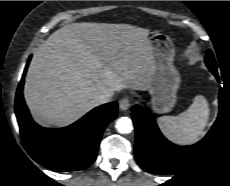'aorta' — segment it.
Masks as SVG:
<instances>
[{
	"label": "aorta",
	"mask_w": 230,
	"mask_h": 186,
	"mask_svg": "<svg viewBox=\"0 0 230 186\" xmlns=\"http://www.w3.org/2000/svg\"><path fill=\"white\" fill-rule=\"evenodd\" d=\"M117 131L121 134L130 133L133 129L132 121L128 117H121L116 121Z\"/></svg>",
	"instance_id": "762f6f07"
}]
</instances>
